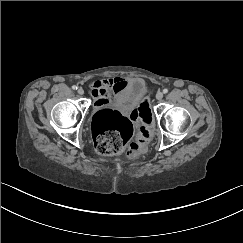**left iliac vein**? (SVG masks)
I'll return each mask as SVG.
<instances>
[{
	"label": "left iliac vein",
	"instance_id": "1",
	"mask_svg": "<svg viewBox=\"0 0 243 243\" xmlns=\"http://www.w3.org/2000/svg\"><path fill=\"white\" fill-rule=\"evenodd\" d=\"M162 98H163V93L160 92V91L157 92V93H156V99H157V100H161Z\"/></svg>",
	"mask_w": 243,
	"mask_h": 243
}]
</instances>
